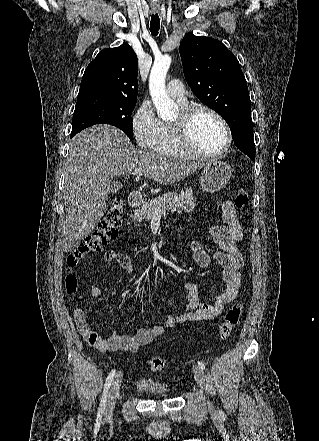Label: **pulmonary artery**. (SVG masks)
Instances as JSON below:
<instances>
[{
  "instance_id": "e3ab8cb5",
  "label": "pulmonary artery",
  "mask_w": 319,
  "mask_h": 441,
  "mask_svg": "<svg viewBox=\"0 0 319 441\" xmlns=\"http://www.w3.org/2000/svg\"><path fill=\"white\" fill-rule=\"evenodd\" d=\"M167 91H168V94L172 98L178 100L180 103L186 102V98L184 95V88H183L182 83L179 80H176V79L171 80L168 83Z\"/></svg>"
}]
</instances>
